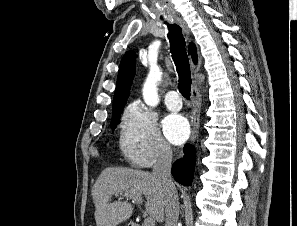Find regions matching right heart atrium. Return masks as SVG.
<instances>
[{"label":"right heart atrium","mask_w":297,"mask_h":226,"mask_svg":"<svg viewBox=\"0 0 297 226\" xmlns=\"http://www.w3.org/2000/svg\"><path fill=\"white\" fill-rule=\"evenodd\" d=\"M120 149L124 157L138 167H150L171 157L155 115L140 101L132 102L121 120Z\"/></svg>","instance_id":"d8ad5b80"}]
</instances>
